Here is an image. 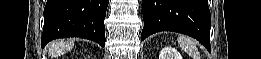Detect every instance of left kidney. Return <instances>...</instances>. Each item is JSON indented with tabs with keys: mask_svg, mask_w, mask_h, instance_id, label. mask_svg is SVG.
I'll list each match as a JSON object with an SVG mask.
<instances>
[{
	"mask_svg": "<svg viewBox=\"0 0 261 59\" xmlns=\"http://www.w3.org/2000/svg\"><path fill=\"white\" fill-rule=\"evenodd\" d=\"M159 59H182V56L175 48L169 46L161 50Z\"/></svg>",
	"mask_w": 261,
	"mask_h": 59,
	"instance_id": "5707ae66",
	"label": "left kidney"
}]
</instances>
